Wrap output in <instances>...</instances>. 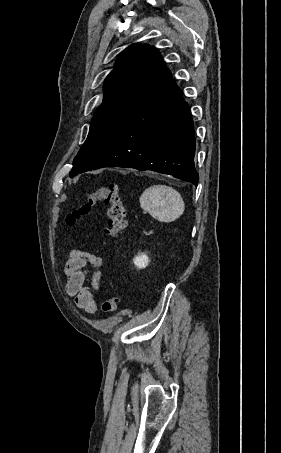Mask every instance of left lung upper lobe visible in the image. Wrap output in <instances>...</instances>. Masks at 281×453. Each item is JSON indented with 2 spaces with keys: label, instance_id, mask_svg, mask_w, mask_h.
Masks as SVG:
<instances>
[{
  "label": "left lung upper lobe",
  "instance_id": "1",
  "mask_svg": "<svg viewBox=\"0 0 281 453\" xmlns=\"http://www.w3.org/2000/svg\"><path fill=\"white\" fill-rule=\"evenodd\" d=\"M163 60L154 47L133 44L118 58L106 78L103 103L97 109L88 137L73 161L69 176L84 168L107 144L154 83Z\"/></svg>",
  "mask_w": 281,
  "mask_h": 453
}]
</instances>
